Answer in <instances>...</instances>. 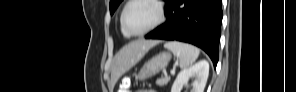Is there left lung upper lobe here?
<instances>
[{
  "label": "left lung upper lobe",
  "instance_id": "obj_1",
  "mask_svg": "<svg viewBox=\"0 0 296 92\" xmlns=\"http://www.w3.org/2000/svg\"><path fill=\"white\" fill-rule=\"evenodd\" d=\"M166 3H168L169 0H164ZM122 2V0H110V13L111 15L114 13L118 5Z\"/></svg>",
  "mask_w": 296,
  "mask_h": 92
}]
</instances>
